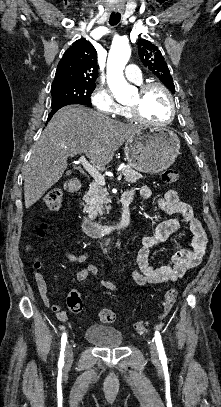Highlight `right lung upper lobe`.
<instances>
[{"label": "right lung upper lobe", "mask_w": 221, "mask_h": 407, "mask_svg": "<svg viewBox=\"0 0 221 407\" xmlns=\"http://www.w3.org/2000/svg\"><path fill=\"white\" fill-rule=\"evenodd\" d=\"M97 52L87 40H77L60 60L51 89L73 83H95Z\"/></svg>", "instance_id": "cb5924a9"}]
</instances>
